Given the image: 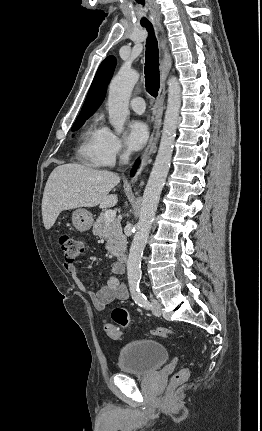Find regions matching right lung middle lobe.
<instances>
[{"instance_id":"right-lung-middle-lobe-1","label":"right lung middle lobe","mask_w":262,"mask_h":431,"mask_svg":"<svg viewBox=\"0 0 262 431\" xmlns=\"http://www.w3.org/2000/svg\"><path fill=\"white\" fill-rule=\"evenodd\" d=\"M89 117H78L72 127V131L78 130Z\"/></svg>"}]
</instances>
